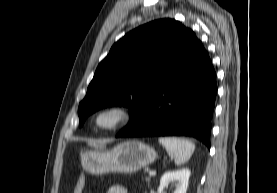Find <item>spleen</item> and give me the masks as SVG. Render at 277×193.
Returning a JSON list of instances; mask_svg holds the SVG:
<instances>
[{
    "instance_id": "1",
    "label": "spleen",
    "mask_w": 277,
    "mask_h": 193,
    "mask_svg": "<svg viewBox=\"0 0 277 193\" xmlns=\"http://www.w3.org/2000/svg\"><path fill=\"white\" fill-rule=\"evenodd\" d=\"M158 141L165 147L168 154L174 158L176 165L187 162L195 150V145L185 138L160 137Z\"/></svg>"
}]
</instances>
